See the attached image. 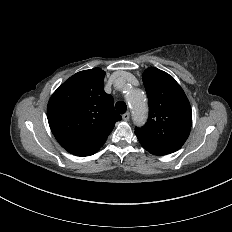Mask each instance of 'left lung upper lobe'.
<instances>
[{"label": "left lung upper lobe", "mask_w": 232, "mask_h": 232, "mask_svg": "<svg viewBox=\"0 0 232 232\" xmlns=\"http://www.w3.org/2000/svg\"><path fill=\"white\" fill-rule=\"evenodd\" d=\"M149 101V118L135 134L142 146H157L177 151L187 140L191 124L190 103L175 79L150 67L143 74Z\"/></svg>", "instance_id": "left-lung-upper-lobe-1"}]
</instances>
